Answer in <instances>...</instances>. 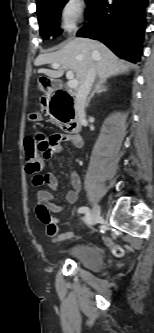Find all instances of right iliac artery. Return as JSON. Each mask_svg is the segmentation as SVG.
I'll return each mask as SVG.
<instances>
[{
    "label": "right iliac artery",
    "instance_id": "1",
    "mask_svg": "<svg viewBox=\"0 0 154 333\" xmlns=\"http://www.w3.org/2000/svg\"><path fill=\"white\" fill-rule=\"evenodd\" d=\"M78 213H84L85 214V221L87 223H90L91 221V213L88 207H80L78 209Z\"/></svg>",
    "mask_w": 154,
    "mask_h": 333
}]
</instances>
